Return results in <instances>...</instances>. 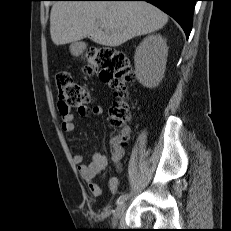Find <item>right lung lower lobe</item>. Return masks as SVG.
Instances as JSON below:
<instances>
[{
    "label": "right lung lower lobe",
    "instance_id": "98d812e1",
    "mask_svg": "<svg viewBox=\"0 0 231 231\" xmlns=\"http://www.w3.org/2000/svg\"><path fill=\"white\" fill-rule=\"evenodd\" d=\"M95 1H147L176 20L188 38L192 29L193 12L197 0H95Z\"/></svg>",
    "mask_w": 231,
    "mask_h": 231
}]
</instances>
